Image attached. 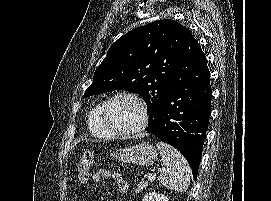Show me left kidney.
<instances>
[{
    "instance_id": "5707ae66",
    "label": "left kidney",
    "mask_w": 271,
    "mask_h": 201,
    "mask_svg": "<svg viewBox=\"0 0 271 201\" xmlns=\"http://www.w3.org/2000/svg\"><path fill=\"white\" fill-rule=\"evenodd\" d=\"M142 201H169L167 196L163 194H159L157 192H149L147 193Z\"/></svg>"
}]
</instances>
